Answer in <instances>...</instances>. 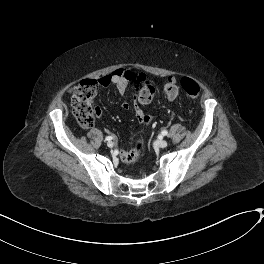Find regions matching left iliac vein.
Masks as SVG:
<instances>
[{
	"label": "left iliac vein",
	"mask_w": 264,
	"mask_h": 264,
	"mask_svg": "<svg viewBox=\"0 0 264 264\" xmlns=\"http://www.w3.org/2000/svg\"><path fill=\"white\" fill-rule=\"evenodd\" d=\"M157 145L160 148H166L168 146V142L166 140H159V141H157Z\"/></svg>",
	"instance_id": "1"
}]
</instances>
